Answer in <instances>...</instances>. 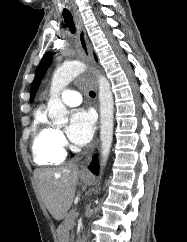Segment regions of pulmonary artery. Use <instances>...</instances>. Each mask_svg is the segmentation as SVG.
Returning <instances> with one entry per match:
<instances>
[{"mask_svg":"<svg viewBox=\"0 0 187 242\" xmlns=\"http://www.w3.org/2000/svg\"><path fill=\"white\" fill-rule=\"evenodd\" d=\"M61 98L65 104L68 106H76L81 103V95L79 92L71 89H65L61 93Z\"/></svg>","mask_w":187,"mask_h":242,"instance_id":"pulmonary-artery-1","label":"pulmonary artery"}]
</instances>
